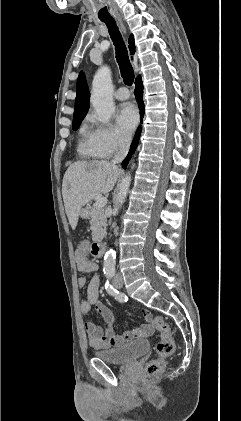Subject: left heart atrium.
<instances>
[{
  "label": "left heart atrium",
  "instance_id": "obj_1",
  "mask_svg": "<svg viewBox=\"0 0 241 421\" xmlns=\"http://www.w3.org/2000/svg\"><path fill=\"white\" fill-rule=\"evenodd\" d=\"M116 119L119 127L129 134L138 123V110L132 103H124L120 106Z\"/></svg>",
  "mask_w": 241,
  "mask_h": 421
}]
</instances>
